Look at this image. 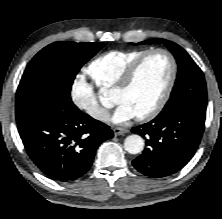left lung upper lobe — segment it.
<instances>
[{
    "mask_svg": "<svg viewBox=\"0 0 222 219\" xmlns=\"http://www.w3.org/2000/svg\"><path fill=\"white\" fill-rule=\"evenodd\" d=\"M173 53L178 63V74L175 86L172 90L169 101L165 107H169L177 102H190L199 106H207V89L204 75L201 69L189 56V54L179 45L165 39H150L138 44H161ZM137 45V44H136Z\"/></svg>",
    "mask_w": 222,
    "mask_h": 219,
    "instance_id": "1",
    "label": "left lung upper lobe"
}]
</instances>
